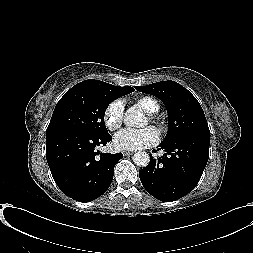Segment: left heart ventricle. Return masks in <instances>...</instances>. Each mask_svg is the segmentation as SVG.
<instances>
[{"instance_id": "left-heart-ventricle-1", "label": "left heart ventricle", "mask_w": 253, "mask_h": 253, "mask_svg": "<svg viewBox=\"0 0 253 253\" xmlns=\"http://www.w3.org/2000/svg\"><path fill=\"white\" fill-rule=\"evenodd\" d=\"M148 122H149V120L147 119L144 125H147V124H148Z\"/></svg>"}]
</instances>
